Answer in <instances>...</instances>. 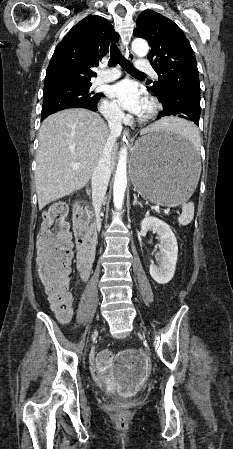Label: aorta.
Listing matches in <instances>:
<instances>
[{
  "instance_id": "1",
  "label": "aorta",
  "mask_w": 233,
  "mask_h": 449,
  "mask_svg": "<svg viewBox=\"0 0 233 449\" xmlns=\"http://www.w3.org/2000/svg\"><path fill=\"white\" fill-rule=\"evenodd\" d=\"M132 50L138 57H145L149 51L148 43L143 39H135L132 42ZM127 149L120 151L113 186V203L117 210L123 205L124 194L127 187Z\"/></svg>"
}]
</instances>
